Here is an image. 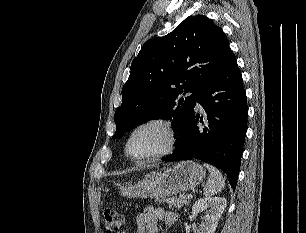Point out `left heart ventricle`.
Instances as JSON below:
<instances>
[{
  "instance_id": "b2bd125f",
  "label": "left heart ventricle",
  "mask_w": 306,
  "mask_h": 233,
  "mask_svg": "<svg viewBox=\"0 0 306 233\" xmlns=\"http://www.w3.org/2000/svg\"><path fill=\"white\" fill-rule=\"evenodd\" d=\"M167 133L159 125H149L137 131L129 143V152L135 158L157 153L165 148Z\"/></svg>"
}]
</instances>
